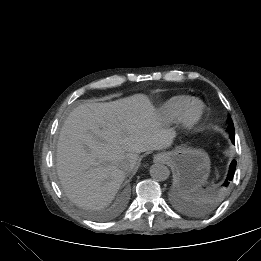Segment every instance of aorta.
I'll list each match as a JSON object with an SVG mask.
<instances>
[{"instance_id": "1", "label": "aorta", "mask_w": 261, "mask_h": 261, "mask_svg": "<svg viewBox=\"0 0 261 261\" xmlns=\"http://www.w3.org/2000/svg\"><path fill=\"white\" fill-rule=\"evenodd\" d=\"M150 175L154 180L165 181L170 175V171L167 166L163 164H154L150 168Z\"/></svg>"}]
</instances>
